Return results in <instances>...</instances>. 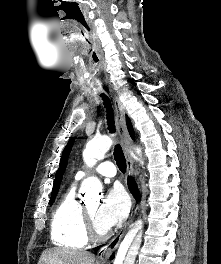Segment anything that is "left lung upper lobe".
Listing matches in <instances>:
<instances>
[{
  "mask_svg": "<svg viewBox=\"0 0 221 264\" xmlns=\"http://www.w3.org/2000/svg\"><path fill=\"white\" fill-rule=\"evenodd\" d=\"M74 144V138H72L68 144L66 145L64 151H63V154L61 156V161H60V164H59V168L56 172V176H55V180H54V185H53V189H52V194H51V204L53 203L57 193H58V190H59V187H60V183H61V180H62V176L64 174V171L66 169V166H67V161H68V157H69V154H70V151L72 149V146Z\"/></svg>",
  "mask_w": 221,
  "mask_h": 264,
  "instance_id": "obj_1",
  "label": "left lung upper lobe"
}]
</instances>
